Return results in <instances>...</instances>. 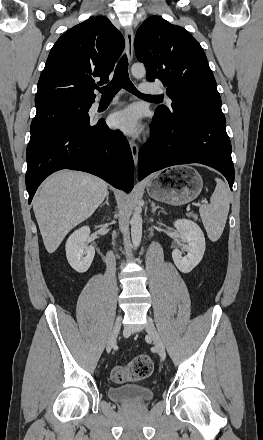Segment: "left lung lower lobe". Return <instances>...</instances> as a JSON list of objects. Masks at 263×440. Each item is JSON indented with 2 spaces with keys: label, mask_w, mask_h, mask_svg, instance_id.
<instances>
[{
  "label": "left lung lower lobe",
  "mask_w": 263,
  "mask_h": 440,
  "mask_svg": "<svg viewBox=\"0 0 263 440\" xmlns=\"http://www.w3.org/2000/svg\"><path fill=\"white\" fill-rule=\"evenodd\" d=\"M151 135L139 151V181L172 165L201 163L221 172L232 190L231 143L221 110L175 112L168 118L156 113Z\"/></svg>",
  "instance_id": "1"
}]
</instances>
